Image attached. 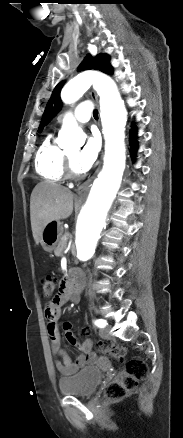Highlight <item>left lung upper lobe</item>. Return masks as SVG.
Instances as JSON below:
<instances>
[{
    "label": "left lung upper lobe",
    "instance_id": "5c2ea615",
    "mask_svg": "<svg viewBox=\"0 0 183 438\" xmlns=\"http://www.w3.org/2000/svg\"><path fill=\"white\" fill-rule=\"evenodd\" d=\"M86 69H96L107 74L113 73V68L109 63V57L106 54H99L93 59L90 55H87L84 61L80 64L78 70ZM62 86L63 82L59 83L53 90L51 99L48 101L45 112L43 114L42 121L39 126V132H41L44 128V125H47L51 121V119H53L55 115L60 111L62 106L60 99V91Z\"/></svg>",
    "mask_w": 183,
    "mask_h": 438
}]
</instances>
